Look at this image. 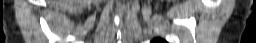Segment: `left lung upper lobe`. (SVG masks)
I'll return each mask as SVG.
<instances>
[{"label":"left lung upper lobe","instance_id":"obj_1","mask_svg":"<svg viewBox=\"0 0 256 43\" xmlns=\"http://www.w3.org/2000/svg\"><path fill=\"white\" fill-rule=\"evenodd\" d=\"M152 43H166V41L160 39V38H156L152 41Z\"/></svg>","mask_w":256,"mask_h":43}]
</instances>
